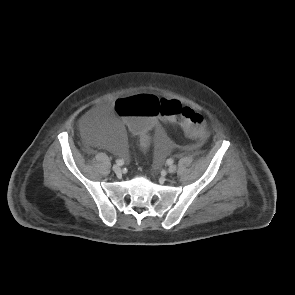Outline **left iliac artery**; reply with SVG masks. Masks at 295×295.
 Returning <instances> with one entry per match:
<instances>
[{"label": "left iliac artery", "instance_id": "44dca946", "mask_svg": "<svg viewBox=\"0 0 295 295\" xmlns=\"http://www.w3.org/2000/svg\"><path fill=\"white\" fill-rule=\"evenodd\" d=\"M173 162H174V160H173V159H168V160H167V164H168V165H172V164H173Z\"/></svg>", "mask_w": 295, "mask_h": 295}]
</instances>
